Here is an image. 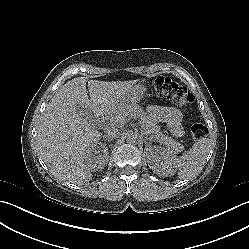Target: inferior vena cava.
Wrapping results in <instances>:
<instances>
[{"label":"inferior vena cava","mask_w":249,"mask_h":249,"mask_svg":"<svg viewBox=\"0 0 249 249\" xmlns=\"http://www.w3.org/2000/svg\"><path fill=\"white\" fill-rule=\"evenodd\" d=\"M117 131H118L117 126H109L105 131L106 134L104 135V137L115 138L117 135Z\"/></svg>","instance_id":"obj_1"}]
</instances>
